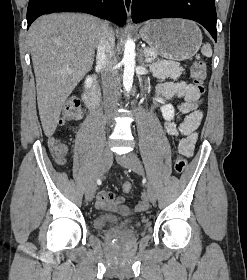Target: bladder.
<instances>
[{
  "mask_svg": "<svg viewBox=\"0 0 247 280\" xmlns=\"http://www.w3.org/2000/svg\"><path fill=\"white\" fill-rule=\"evenodd\" d=\"M95 226L98 229H106L111 226H119L123 228H137L139 226L138 221L134 220H122L113 215H103L99 216L94 221Z\"/></svg>",
  "mask_w": 247,
  "mask_h": 280,
  "instance_id": "obj_1",
  "label": "bladder"
}]
</instances>
